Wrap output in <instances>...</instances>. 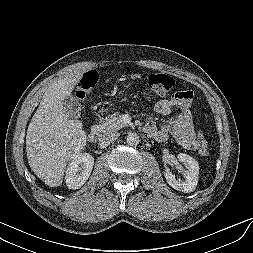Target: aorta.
Returning <instances> with one entry per match:
<instances>
[{"label":"aorta","mask_w":253,"mask_h":253,"mask_svg":"<svg viewBox=\"0 0 253 253\" xmlns=\"http://www.w3.org/2000/svg\"><path fill=\"white\" fill-rule=\"evenodd\" d=\"M140 142L139 136L136 133H129L127 136V143L130 146H137Z\"/></svg>","instance_id":"1"}]
</instances>
